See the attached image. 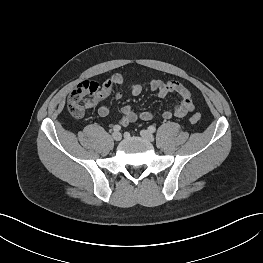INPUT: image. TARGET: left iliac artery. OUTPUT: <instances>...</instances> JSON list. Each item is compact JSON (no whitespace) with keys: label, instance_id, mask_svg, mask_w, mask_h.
<instances>
[{"label":"left iliac artery","instance_id":"1","mask_svg":"<svg viewBox=\"0 0 263 263\" xmlns=\"http://www.w3.org/2000/svg\"><path fill=\"white\" fill-rule=\"evenodd\" d=\"M148 130L151 132V133H154L156 131V127L151 125L148 127Z\"/></svg>","mask_w":263,"mask_h":263}]
</instances>
